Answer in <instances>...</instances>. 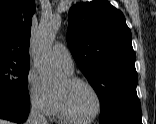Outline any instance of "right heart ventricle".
I'll return each instance as SVG.
<instances>
[{
    "label": "right heart ventricle",
    "instance_id": "right-heart-ventricle-1",
    "mask_svg": "<svg viewBox=\"0 0 156 124\" xmlns=\"http://www.w3.org/2000/svg\"><path fill=\"white\" fill-rule=\"evenodd\" d=\"M67 73L71 74V72H67ZM52 92H53V98H54V101H53V114L60 117V114H59V111H58V108H57V104H56L55 94H54V91H52Z\"/></svg>",
    "mask_w": 156,
    "mask_h": 124
}]
</instances>
